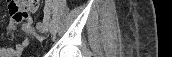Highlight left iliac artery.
Segmentation results:
<instances>
[{"label":"left iliac artery","mask_w":172,"mask_h":57,"mask_svg":"<svg viewBox=\"0 0 172 57\" xmlns=\"http://www.w3.org/2000/svg\"><path fill=\"white\" fill-rule=\"evenodd\" d=\"M46 4L51 6L52 0H46Z\"/></svg>","instance_id":"obj_1"}]
</instances>
